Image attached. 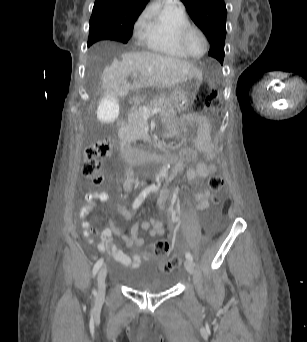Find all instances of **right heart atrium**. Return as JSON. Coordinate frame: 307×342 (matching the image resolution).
<instances>
[{
	"label": "right heart atrium",
	"instance_id": "1",
	"mask_svg": "<svg viewBox=\"0 0 307 342\" xmlns=\"http://www.w3.org/2000/svg\"><path fill=\"white\" fill-rule=\"evenodd\" d=\"M152 35L151 32L147 29L144 19L139 17L136 19L130 29V37L132 40H137L142 37H146Z\"/></svg>",
	"mask_w": 307,
	"mask_h": 342
}]
</instances>
